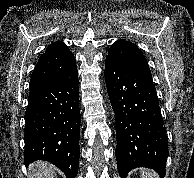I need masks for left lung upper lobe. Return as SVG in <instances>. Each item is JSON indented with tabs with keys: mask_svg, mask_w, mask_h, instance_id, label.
<instances>
[{
	"mask_svg": "<svg viewBox=\"0 0 194 178\" xmlns=\"http://www.w3.org/2000/svg\"><path fill=\"white\" fill-rule=\"evenodd\" d=\"M107 58L125 68L152 78L145 56L132 42L123 39L116 41L110 47Z\"/></svg>",
	"mask_w": 194,
	"mask_h": 178,
	"instance_id": "obj_1",
	"label": "left lung upper lobe"
}]
</instances>
